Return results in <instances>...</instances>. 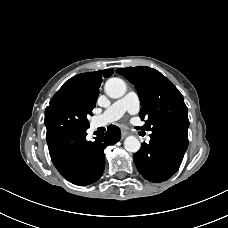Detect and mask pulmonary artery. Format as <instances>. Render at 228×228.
Wrapping results in <instances>:
<instances>
[{"instance_id": "pulmonary-artery-1", "label": "pulmonary artery", "mask_w": 228, "mask_h": 228, "mask_svg": "<svg viewBox=\"0 0 228 228\" xmlns=\"http://www.w3.org/2000/svg\"><path fill=\"white\" fill-rule=\"evenodd\" d=\"M140 109V100L136 92L130 91L121 99L115 101L104 113L97 118L96 125L102 126L121 118L125 113L137 114ZM147 140L150 137L147 136Z\"/></svg>"}]
</instances>
